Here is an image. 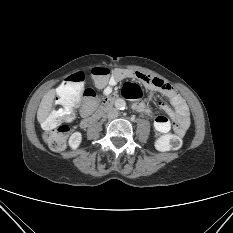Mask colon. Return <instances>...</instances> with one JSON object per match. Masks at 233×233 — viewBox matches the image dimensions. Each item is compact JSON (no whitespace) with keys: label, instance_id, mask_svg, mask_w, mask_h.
Here are the masks:
<instances>
[{"label":"colon","instance_id":"colon-1","mask_svg":"<svg viewBox=\"0 0 233 233\" xmlns=\"http://www.w3.org/2000/svg\"><path fill=\"white\" fill-rule=\"evenodd\" d=\"M112 70L108 67H95L91 70L90 77L96 88L104 87ZM85 75L83 72H76L65 79L58 89V97L50 114L43 121L44 140L54 151L62 150L70 132L68 125L63 124L72 118L73 109L79 102L81 95L90 105L96 104L97 95L92 88L84 89ZM131 89L129 83L125 84L123 92L125 95ZM182 140L177 135H164L157 139L156 146L162 151L178 150Z\"/></svg>","mask_w":233,"mask_h":233}]
</instances>
